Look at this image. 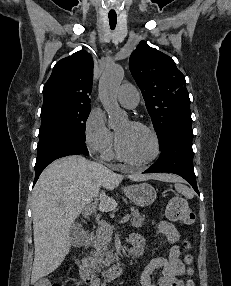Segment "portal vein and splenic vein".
Segmentation results:
<instances>
[{
	"instance_id": "18ae733b",
	"label": "portal vein and splenic vein",
	"mask_w": 231,
	"mask_h": 286,
	"mask_svg": "<svg viewBox=\"0 0 231 286\" xmlns=\"http://www.w3.org/2000/svg\"><path fill=\"white\" fill-rule=\"evenodd\" d=\"M96 204H97V202L95 201V202L91 203L90 205H87L85 207V213L87 215H91L94 212ZM129 218H130V215L126 214L119 223H125V222H127L129 220ZM98 224L101 227H110V225L106 221H104V220H99Z\"/></svg>"
}]
</instances>
